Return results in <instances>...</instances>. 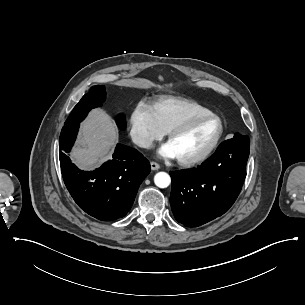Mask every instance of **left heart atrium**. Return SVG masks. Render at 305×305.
Segmentation results:
<instances>
[{
  "mask_svg": "<svg viewBox=\"0 0 305 305\" xmlns=\"http://www.w3.org/2000/svg\"><path fill=\"white\" fill-rule=\"evenodd\" d=\"M159 154L163 157L167 158H175L177 157L175 150L173 149L172 145L170 143L164 144L160 151Z\"/></svg>",
  "mask_w": 305,
  "mask_h": 305,
  "instance_id": "39dd6f15",
  "label": "left heart atrium"
}]
</instances>
